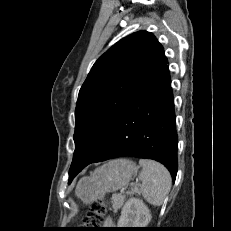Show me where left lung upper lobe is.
Listing matches in <instances>:
<instances>
[{
	"mask_svg": "<svg viewBox=\"0 0 231 231\" xmlns=\"http://www.w3.org/2000/svg\"><path fill=\"white\" fill-rule=\"evenodd\" d=\"M163 51L152 33L139 31L118 41L95 62L78 95L75 151L69 173L89 160Z\"/></svg>",
	"mask_w": 231,
	"mask_h": 231,
	"instance_id": "left-lung-upper-lobe-1",
	"label": "left lung upper lobe"
}]
</instances>
